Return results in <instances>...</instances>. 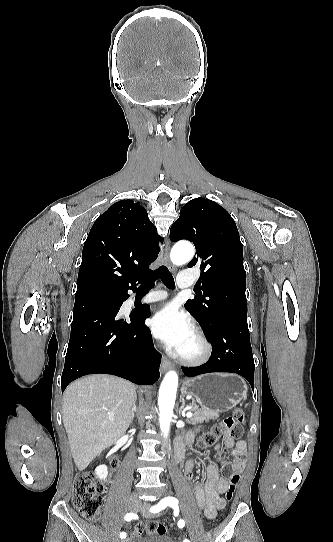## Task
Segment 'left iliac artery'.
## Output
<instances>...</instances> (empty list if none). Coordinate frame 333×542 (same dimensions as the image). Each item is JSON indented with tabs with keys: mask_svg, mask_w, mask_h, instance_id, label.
I'll use <instances>...</instances> for the list:
<instances>
[{
	"mask_svg": "<svg viewBox=\"0 0 333 542\" xmlns=\"http://www.w3.org/2000/svg\"><path fill=\"white\" fill-rule=\"evenodd\" d=\"M178 504V500L174 497H166V498H163L157 505L153 506L150 511L153 512V513H158L159 511H161L162 509L166 508V506H174ZM185 525V522L184 520H179L178 521V527L179 528H183ZM183 542H190L188 539H185Z\"/></svg>",
	"mask_w": 333,
	"mask_h": 542,
	"instance_id": "1",
	"label": "left iliac artery"
}]
</instances>
